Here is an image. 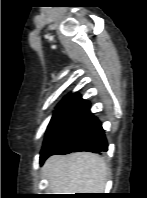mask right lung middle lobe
Wrapping results in <instances>:
<instances>
[{
	"mask_svg": "<svg viewBox=\"0 0 147 198\" xmlns=\"http://www.w3.org/2000/svg\"><path fill=\"white\" fill-rule=\"evenodd\" d=\"M73 109V107H57L48 125L44 142L60 127Z\"/></svg>",
	"mask_w": 147,
	"mask_h": 198,
	"instance_id": "right-lung-middle-lobe-1",
	"label": "right lung middle lobe"
}]
</instances>
